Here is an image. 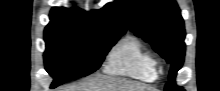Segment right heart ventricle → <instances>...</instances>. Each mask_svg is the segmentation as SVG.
<instances>
[{"mask_svg":"<svg viewBox=\"0 0 220 91\" xmlns=\"http://www.w3.org/2000/svg\"><path fill=\"white\" fill-rule=\"evenodd\" d=\"M105 72L150 83L158 78L157 60L138 37L129 35L111 50Z\"/></svg>","mask_w":220,"mask_h":91,"instance_id":"e07e8e85","label":"right heart ventricle"}]
</instances>
